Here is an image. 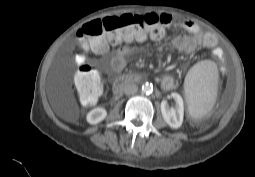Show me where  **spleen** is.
<instances>
[{
	"label": "spleen",
	"instance_id": "obj_1",
	"mask_svg": "<svg viewBox=\"0 0 255 177\" xmlns=\"http://www.w3.org/2000/svg\"><path fill=\"white\" fill-rule=\"evenodd\" d=\"M218 71L214 62L196 63L187 73L184 82L189 114L199 119L213 108L217 95Z\"/></svg>",
	"mask_w": 255,
	"mask_h": 177
}]
</instances>
